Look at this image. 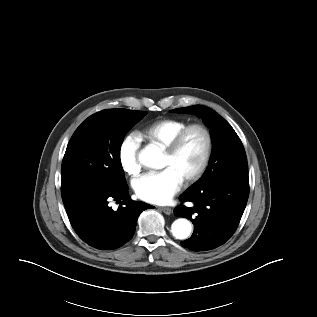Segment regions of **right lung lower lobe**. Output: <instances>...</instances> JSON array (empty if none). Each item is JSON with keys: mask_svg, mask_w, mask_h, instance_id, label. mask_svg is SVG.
Listing matches in <instances>:
<instances>
[{"mask_svg": "<svg viewBox=\"0 0 317 317\" xmlns=\"http://www.w3.org/2000/svg\"><path fill=\"white\" fill-rule=\"evenodd\" d=\"M127 189V184L120 188L98 186L65 204L69 221L84 242L112 250L132 238L138 216L152 206L131 200ZM111 198L122 200L117 210L108 206Z\"/></svg>", "mask_w": 317, "mask_h": 317, "instance_id": "1", "label": "right lung lower lobe"}]
</instances>
